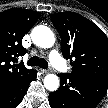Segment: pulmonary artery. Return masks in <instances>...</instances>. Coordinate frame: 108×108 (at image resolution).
Listing matches in <instances>:
<instances>
[{
	"mask_svg": "<svg viewBox=\"0 0 108 108\" xmlns=\"http://www.w3.org/2000/svg\"><path fill=\"white\" fill-rule=\"evenodd\" d=\"M50 61L54 67H56L60 71H66L67 67L61 56L56 50H52L49 54Z\"/></svg>",
	"mask_w": 108,
	"mask_h": 108,
	"instance_id": "e3ab8cb5",
	"label": "pulmonary artery"
}]
</instances>
